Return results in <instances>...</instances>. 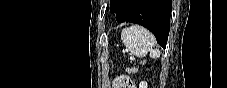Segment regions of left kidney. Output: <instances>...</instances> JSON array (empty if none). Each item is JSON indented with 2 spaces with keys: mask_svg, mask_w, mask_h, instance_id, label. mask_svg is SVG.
I'll use <instances>...</instances> for the list:
<instances>
[{
  "mask_svg": "<svg viewBox=\"0 0 227 88\" xmlns=\"http://www.w3.org/2000/svg\"><path fill=\"white\" fill-rule=\"evenodd\" d=\"M147 82L145 81H141L140 84H139V88H147Z\"/></svg>",
  "mask_w": 227,
  "mask_h": 88,
  "instance_id": "1",
  "label": "left kidney"
}]
</instances>
